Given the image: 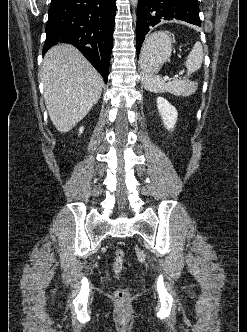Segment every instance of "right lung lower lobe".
<instances>
[{"label": "right lung lower lobe", "mask_w": 247, "mask_h": 332, "mask_svg": "<svg viewBox=\"0 0 247 332\" xmlns=\"http://www.w3.org/2000/svg\"><path fill=\"white\" fill-rule=\"evenodd\" d=\"M116 0H51L43 54L58 42L74 45L108 80Z\"/></svg>", "instance_id": "obj_1"}]
</instances>
